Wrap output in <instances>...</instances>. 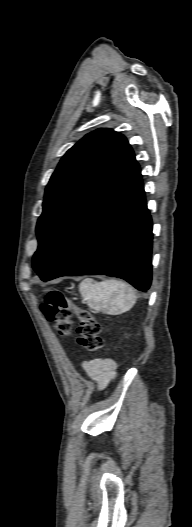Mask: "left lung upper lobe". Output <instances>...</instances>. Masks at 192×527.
Segmentation results:
<instances>
[{
  "mask_svg": "<svg viewBox=\"0 0 192 527\" xmlns=\"http://www.w3.org/2000/svg\"><path fill=\"white\" fill-rule=\"evenodd\" d=\"M136 164L127 139L111 129L87 134L67 151L46 187L33 268L41 277L112 187Z\"/></svg>",
  "mask_w": 192,
  "mask_h": 527,
  "instance_id": "left-lung-upper-lobe-1",
  "label": "left lung upper lobe"
}]
</instances>
